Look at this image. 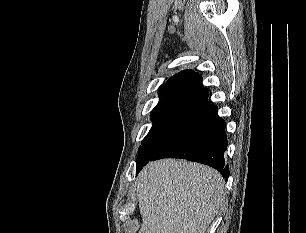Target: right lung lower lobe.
<instances>
[{
  "label": "right lung lower lobe",
  "mask_w": 306,
  "mask_h": 233,
  "mask_svg": "<svg viewBox=\"0 0 306 233\" xmlns=\"http://www.w3.org/2000/svg\"><path fill=\"white\" fill-rule=\"evenodd\" d=\"M217 110V106L212 105L205 108L149 161L162 158L195 161L217 169L227 180L229 167L225 162L228 144L226 123L218 116ZM147 163L136 168V174Z\"/></svg>",
  "instance_id": "1"
}]
</instances>
